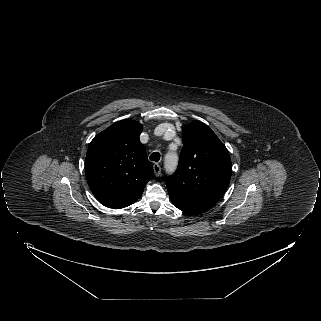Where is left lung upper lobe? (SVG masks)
Here are the masks:
<instances>
[{"label":"left lung upper lobe","instance_id":"5c2ea615","mask_svg":"<svg viewBox=\"0 0 321 321\" xmlns=\"http://www.w3.org/2000/svg\"><path fill=\"white\" fill-rule=\"evenodd\" d=\"M183 149L177 171L166 180L169 196L212 207L226 191L232 173L225 145L204 123L182 129Z\"/></svg>","mask_w":321,"mask_h":321}]
</instances>
